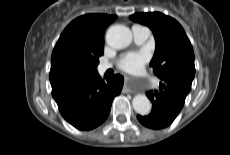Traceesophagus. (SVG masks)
<instances>
[{"instance_id":"1","label":"esophagus","mask_w":230,"mask_h":155,"mask_svg":"<svg viewBox=\"0 0 230 155\" xmlns=\"http://www.w3.org/2000/svg\"><path fill=\"white\" fill-rule=\"evenodd\" d=\"M132 78L130 76H125V86L124 88L128 91L131 92L130 84L132 83Z\"/></svg>"}]
</instances>
